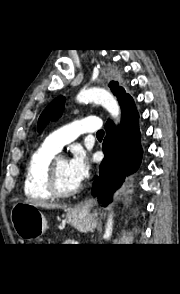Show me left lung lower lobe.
Instances as JSON below:
<instances>
[{
  "mask_svg": "<svg viewBox=\"0 0 180 294\" xmlns=\"http://www.w3.org/2000/svg\"><path fill=\"white\" fill-rule=\"evenodd\" d=\"M121 110L122 121L118 128L110 120L105 125V158L99 177L93 183L92 194L98 196L104 206L111 202V193L122 185L125 177L136 172L142 159L139 115L131 97L121 105Z\"/></svg>",
  "mask_w": 180,
  "mask_h": 294,
  "instance_id": "1",
  "label": "left lung lower lobe"
}]
</instances>
